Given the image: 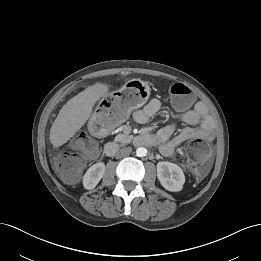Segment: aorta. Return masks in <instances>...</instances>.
<instances>
[{"label": "aorta", "mask_w": 261, "mask_h": 261, "mask_svg": "<svg viewBox=\"0 0 261 261\" xmlns=\"http://www.w3.org/2000/svg\"><path fill=\"white\" fill-rule=\"evenodd\" d=\"M147 154V149L144 147H139L136 149V155L138 157H144Z\"/></svg>", "instance_id": "aorta-1"}]
</instances>
